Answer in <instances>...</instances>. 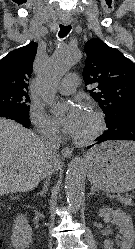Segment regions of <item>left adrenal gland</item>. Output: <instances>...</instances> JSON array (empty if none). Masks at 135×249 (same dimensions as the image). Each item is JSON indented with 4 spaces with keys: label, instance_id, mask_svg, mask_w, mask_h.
Masks as SVG:
<instances>
[{
    "label": "left adrenal gland",
    "instance_id": "a2214340",
    "mask_svg": "<svg viewBox=\"0 0 135 249\" xmlns=\"http://www.w3.org/2000/svg\"><path fill=\"white\" fill-rule=\"evenodd\" d=\"M97 195L96 193H95V191H94V189L93 188H91V192L88 194V196H91V195Z\"/></svg>",
    "mask_w": 135,
    "mask_h": 249
}]
</instances>
